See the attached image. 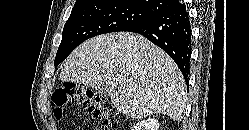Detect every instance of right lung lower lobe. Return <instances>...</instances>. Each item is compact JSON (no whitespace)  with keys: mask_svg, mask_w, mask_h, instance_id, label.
<instances>
[{"mask_svg":"<svg viewBox=\"0 0 249 130\" xmlns=\"http://www.w3.org/2000/svg\"><path fill=\"white\" fill-rule=\"evenodd\" d=\"M124 31L141 34L168 53L178 65L188 84L191 29L184 4L177 2L153 18L135 24Z\"/></svg>","mask_w":249,"mask_h":130,"instance_id":"right-lung-lower-lobe-1","label":"right lung lower lobe"}]
</instances>
